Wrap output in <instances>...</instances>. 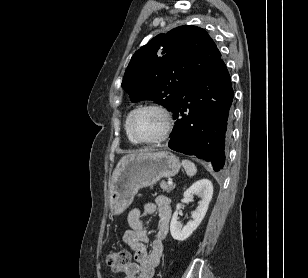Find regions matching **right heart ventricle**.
I'll use <instances>...</instances> for the list:
<instances>
[{
    "label": "right heart ventricle",
    "instance_id": "1",
    "mask_svg": "<svg viewBox=\"0 0 308 278\" xmlns=\"http://www.w3.org/2000/svg\"><path fill=\"white\" fill-rule=\"evenodd\" d=\"M128 117V116H127ZM126 121H127V118H126ZM126 121H125V131H126V134H127V137L129 139V141L133 144H136L137 142L129 135L128 131H127V127H126Z\"/></svg>",
    "mask_w": 308,
    "mask_h": 278
}]
</instances>
